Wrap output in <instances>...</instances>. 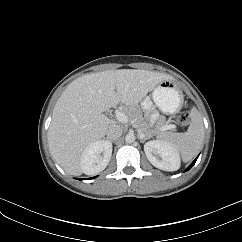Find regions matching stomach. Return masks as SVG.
I'll return each instance as SVG.
<instances>
[{
	"mask_svg": "<svg viewBox=\"0 0 242 242\" xmlns=\"http://www.w3.org/2000/svg\"><path fill=\"white\" fill-rule=\"evenodd\" d=\"M156 106L166 114L177 113L183 104V93L175 82L165 80L159 83L152 93Z\"/></svg>",
	"mask_w": 242,
	"mask_h": 242,
	"instance_id": "obj_1",
	"label": "stomach"
}]
</instances>
